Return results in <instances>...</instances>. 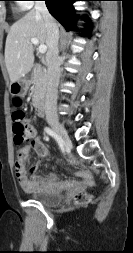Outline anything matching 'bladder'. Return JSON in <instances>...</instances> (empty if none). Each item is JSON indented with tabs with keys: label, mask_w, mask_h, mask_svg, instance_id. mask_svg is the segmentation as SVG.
Listing matches in <instances>:
<instances>
[{
	"label": "bladder",
	"mask_w": 133,
	"mask_h": 253,
	"mask_svg": "<svg viewBox=\"0 0 133 253\" xmlns=\"http://www.w3.org/2000/svg\"><path fill=\"white\" fill-rule=\"evenodd\" d=\"M32 200L48 207L58 206L63 201V196L58 192L39 190L31 194Z\"/></svg>",
	"instance_id": "bladder-1"
}]
</instances>
